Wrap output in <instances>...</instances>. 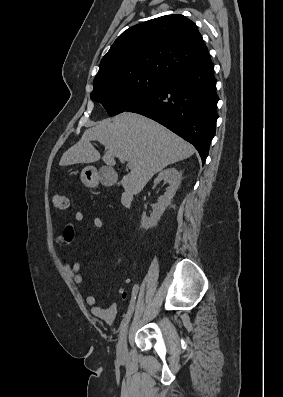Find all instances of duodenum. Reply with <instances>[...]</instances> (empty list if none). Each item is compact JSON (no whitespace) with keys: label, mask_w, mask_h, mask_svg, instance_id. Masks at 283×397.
I'll return each mask as SVG.
<instances>
[{"label":"duodenum","mask_w":283,"mask_h":397,"mask_svg":"<svg viewBox=\"0 0 283 397\" xmlns=\"http://www.w3.org/2000/svg\"><path fill=\"white\" fill-rule=\"evenodd\" d=\"M132 194L130 192H124L121 197V203L125 207H129L132 202Z\"/></svg>","instance_id":"duodenum-1"}]
</instances>
